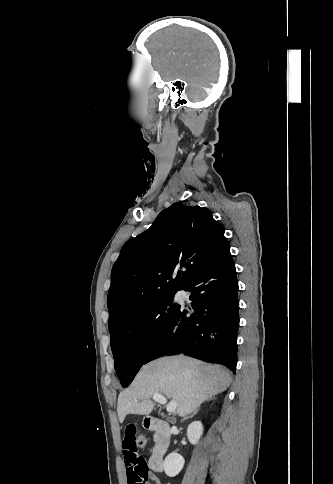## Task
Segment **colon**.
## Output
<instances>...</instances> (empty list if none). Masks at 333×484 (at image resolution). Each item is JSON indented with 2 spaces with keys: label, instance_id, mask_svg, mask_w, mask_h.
Listing matches in <instances>:
<instances>
[{
  "label": "colon",
  "instance_id": "obj_1",
  "mask_svg": "<svg viewBox=\"0 0 333 484\" xmlns=\"http://www.w3.org/2000/svg\"><path fill=\"white\" fill-rule=\"evenodd\" d=\"M136 443L139 447H144L147 443V438L144 434H140L136 438Z\"/></svg>",
  "mask_w": 333,
  "mask_h": 484
}]
</instances>
